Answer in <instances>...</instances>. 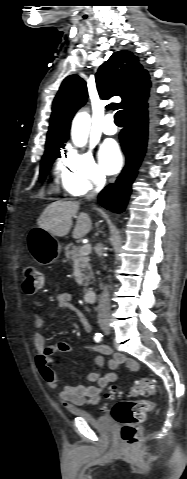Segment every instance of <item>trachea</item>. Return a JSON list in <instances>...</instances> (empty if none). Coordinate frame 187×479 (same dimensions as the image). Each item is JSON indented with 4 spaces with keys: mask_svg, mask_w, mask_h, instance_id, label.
I'll return each mask as SVG.
<instances>
[{
    "mask_svg": "<svg viewBox=\"0 0 187 479\" xmlns=\"http://www.w3.org/2000/svg\"><path fill=\"white\" fill-rule=\"evenodd\" d=\"M114 121L116 125H123L124 124V117H123V111L119 110L116 112L114 116Z\"/></svg>",
    "mask_w": 187,
    "mask_h": 479,
    "instance_id": "3493384b",
    "label": "trachea"
}]
</instances>
